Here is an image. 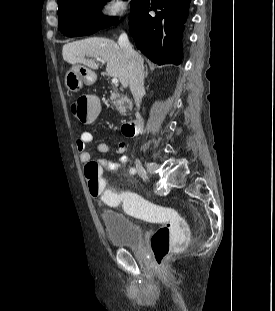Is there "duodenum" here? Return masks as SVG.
<instances>
[{"instance_id":"1","label":"duodenum","mask_w":275,"mask_h":311,"mask_svg":"<svg viewBox=\"0 0 275 311\" xmlns=\"http://www.w3.org/2000/svg\"><path fill=\"white\" fill-rule=\"evenodd\" d=\"M142 124V119H135L132 121L124 122L121 126L122 133L125 136H134L140 131Z\"/></svg>"}]
</instances>
